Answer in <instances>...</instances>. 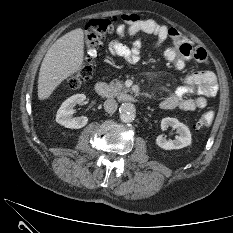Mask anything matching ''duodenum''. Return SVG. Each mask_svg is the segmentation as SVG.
I'll use <instances>...</instances> for the list:
<instances>
[{"label": "duodenum", "instance_id": "1", "mask_svg": "<svg viewBox=\"0 0 233 233\" xmlns=\"http://www.w3.org/2000/svg\"><path fill=\"white\" fill-rule=\"evenodd\" d=\"M95 92L101 97L110 96V89L108 85L104 82H97L95 84ZM123 99L128 102H135V98L128 93L123 94Z\"/></svg>", "mask_w": 233, "mask_h": 233}]
</instances>
